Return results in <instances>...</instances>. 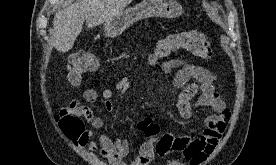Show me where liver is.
I'll use <instances>...</instances> for the list:
<instances>
[{
	"label": "liver",
	"instance_id": "6515ba94",
	"mask_svg": "<svg viewBox=\"0 0 276 165\" xmlns=\"http://www.w3.org/2000/svg\"><path fill=\"white\" fill-rule=\"evenodd\" d=\"M132 0H79L63 10H58L50 33L52 44L59 52H68L83 29L107 23L119 15Z\"/></svg>",
	"mask_w": 276,
	"mask_h": 165
}]
</instances>
